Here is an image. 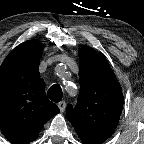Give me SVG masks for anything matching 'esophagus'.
<instances>
[{"label": "esophagus", "mask_w": 144, "mask_h": 144, "mask_svg": "<svg viewBox=\"0 0 144 144\" xmlns=\"http://www.w3.org/2000/svg\"><path fill=\"white\" fill-rule=\"evenodd\" d=\"M58 107L60 109L61 112H64L65 107H66V102L65 101H61L58 103Z\"/></svg>", "instance_id": "obj_1"}]
</instances>
